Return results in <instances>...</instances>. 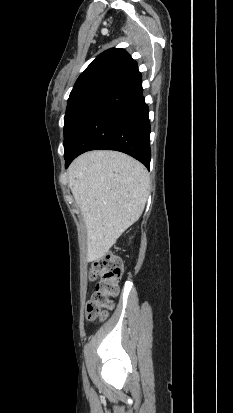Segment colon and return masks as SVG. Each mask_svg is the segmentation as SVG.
Here are the masks:
<instances>
[{"instance_id": "obj_1", "label": "colon", "mask_w": 233, "mask_h": 413, "mask_svg": "<svg viewBox=\"0 0 233 413\" xmlns=\"http://www.w3.org/2000/svg\"><path fill=\"white\" fill-rule=\"evenodd\" d=\"M122 269L121 259L112 254H107L92 263L89 270L90 279L99 281L86 306L88 321L103 320L107 317V310L112 307V298L118 292Z\"/></svg>"}]
</instances>
